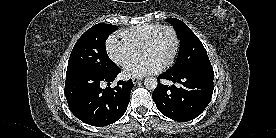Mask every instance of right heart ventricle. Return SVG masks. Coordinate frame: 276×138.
I'll return each mask as SVG.
<instances>
[{"label":"right heart ventricle","mask_w":276,"mask_h":138,"mask_svg":"<svg viewBox=\"0 0 276 138\" xmlns=\"http://www.w3.org/2000/svg\"><path fill=\"white\" fill-rule=\"evenodd\" d=\"M162 26L163 25L157 23L142 24L124 30L120 35L128 40L136 49H139L142 48L145 41Z\"/></svg>","instance_id":"e07e8e85"}]
</instances>
